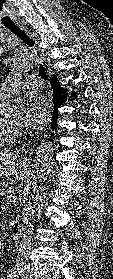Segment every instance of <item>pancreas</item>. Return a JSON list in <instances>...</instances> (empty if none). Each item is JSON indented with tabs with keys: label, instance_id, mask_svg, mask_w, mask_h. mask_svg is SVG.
<instances>
[{
	"label": "pancreas",
	"instance_id": "pancreas-1",
	"mask_svg": "<svg viewBox=\"0 0 113 279\" xmlns=\"http://www.w3.org/2000/svg\"><path fill=\"white\" fill-rule=\"evenodd\" d=\"M0 195L1 196H5L7 199V203L9 204L10 202H12L14 205H17L19 198H17V196H14V190L12 188L9 187V185H5L3 189H0ZM12 195L14 196V199L9 200V196ZM19 220V215H17L16 220H11L10 221V227L11 225H14L15 223H17Z\"/></svg>",
	"mask_w": 113,
	"mask_h": 279
}]
</instances>
